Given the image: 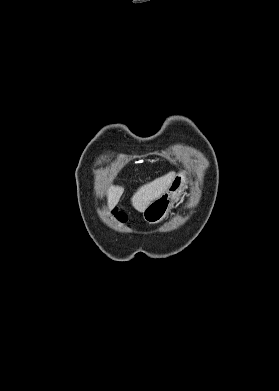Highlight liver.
<instances>
[{
  "label": "liver",
  "mask_w": 279,
  "mask_h": 391,
  "mask_svg": "<svg viewBox=\"0 0 279 391\" xmlns=\"http://www.w3.org/2000/svg\"><path fill=\"white\" fill-rule=\"evenodd\" d=\"M174 178L175 172H169L140 187L131 198L134 208L139 212H143L152 201L159 198L167 191ZM123 191V187L119 186H111L109 188L107 196L109 209H112L117 205Z\"/></svg>",
  "instance_id": "obj_1"
}]
</instances>
